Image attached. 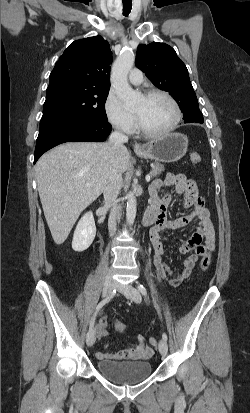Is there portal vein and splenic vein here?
I'll use <instances>...</instances> for the list:
<instances>
[{"instance_id":"18ae733b","label":"portal vein and splenic vein","mask_w":250,"mask_h":413,"mask_svg":"<svg viewBox=\"0 0 250 413\" xmlns=\"http://www.w3.org/2000/svg\"><path fill=\"white\" fill-rule=\"evenodd\" d=\"M145 179H146V182H150V179H151L150 175H147ZM86 186L87 187L90 186V183H86Z\"/></svg>"}]
</instances>
